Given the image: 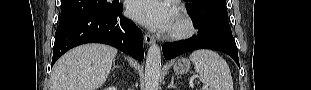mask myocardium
<instances>
[{
	"mask_svg": "<svg viewBox=\"0 0 311 90\" xmlns=\"http://www.w3.org/2000/svg\"><path fill=\"white\" fill-rule=\"evenodd\" d=\"M176 26L170 28L167 36L174 40L186 39L195 33V24L190 16L184 11L175 14Z\"/></svg>",
	"mask_w": 311,
	"mask_h": 90,
	"instance_id": "f54148a6",
	"label": "myocardium"
}]
</instances>
